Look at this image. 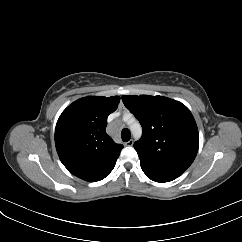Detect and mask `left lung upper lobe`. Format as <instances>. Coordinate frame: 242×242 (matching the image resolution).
<instances>
[{
	"label": "left lung upper lobe",
	"mask_w": 242,
	"mask_h": 242,
	"mask_svg": "<svg viewBox=\"0 0 242 242\" xmlns=\"http://www.w3.org/2000/svg\"><path fill=\"white\" fill-rule=\"evenodd\" d=\"M122 101L143 128L134 144L141 168L180 176L194 161L199 134L190 110L181 102L150 95H124Z\"/></svg>",
	"instance_id": "left-lung-upper-lobe-1"
}]
</instances>
